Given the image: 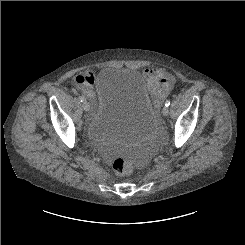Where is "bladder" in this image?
Listing matches in <instances>:
<instances>
[{
    "instance_id": "1",
    "label": "bladder",
    "mask_w": 245,
    "mask_h": 245,
    "mask_svg": "<svg viewBox=\"0 0 245 245\" xmlns=\"http://www.w3.org/2000/svg\"><path fill=\"white\" fill-rule=\"evenodd\" d=\"M95 94V107L85 129L88 141L129 144L155 131L158 119L137 69L103 68Z\"/></svg>"
}]
</instances>
